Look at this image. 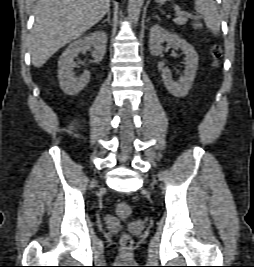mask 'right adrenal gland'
<instances>
[{
	"label": "right adrenal gland",
	"instance_id": "obj_1",
	"mask_svg": "<svg viewBox=\"0 0 254 267\" xmlns=\"http://www.w3.org/2000/svg\"><path fill=\"white\" fill-rule=\"evenodd\" d=\"M105 22H108L109 24H111V22H110V10L107 11V18L102 21V23H105Z\"/></svg>",
	"mask_w": 254,
	"mask_h": 267
}]
</instances>
